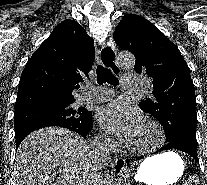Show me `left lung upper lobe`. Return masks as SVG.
Instances as JSON below:
<instances>
[{
  "label": "left lung upper lobe",
  "mask_w": 207,
  "mask_h": 185,
  "mask_svg": "<svg viewBox=\"0 0 207 185\" xmlns=\"http://www.w3.org/2000/svg\"><path fill=\"white\" fill-rule=\"evenodd\" d=\"M116 44L132 52L134 71L152 79L146 98L139 107L163 126L167 143L183 141L197 150L196 99L189 67L179 49L144 17L126 14L113 34Z\"/></svg>",
  "instance_id": "1"
}]
</instances>
